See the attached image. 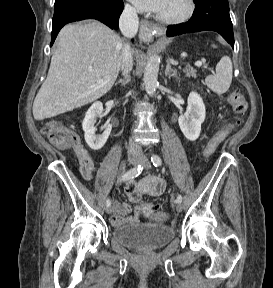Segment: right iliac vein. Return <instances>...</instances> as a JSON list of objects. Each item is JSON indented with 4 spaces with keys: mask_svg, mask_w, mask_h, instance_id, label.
I'll use <instances>...</instances> for the list:
<instances>
[{
    "mask_svg": "<svg viewBox=\"0 0 273 288\" xmlns=\"http://www.w3.org/2000/svg\"><path fill=\"white\" fill-rule=\"evenodd\" d=\"M128 162H129V164H131V165H136V164L138 163V159L135 158V157H130V158L128 159ZM105 211H106L107 214H111L112 211H113V208H112L111 206H108Z\"/></svg>",
    "mask_w": 273,
    "mask_h": 288,
    "instance_id": "1",
    "label": "right iliac vein"
}]
</instances>
